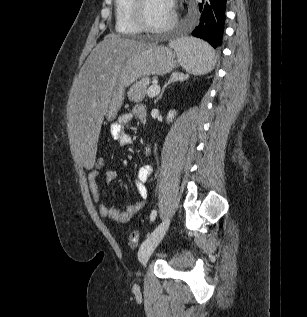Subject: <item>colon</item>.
<instances>
[{"label": "colon", "mask_w": 307, "mask_h": 317, "mask_svg": "<svg viewBox=\"0 0 307 317\" xmlns=\"http://www.w3.org/2000/svg\"><path fill=\"white\" fill-rule=\"evenodd\" d=\"M105 166V160L102 156H98L95 159V164H94V168L95 170H101L103 169ZM139 239V233L138 231H133L129 234L128 236V243L130 245H136Z\"/></svg>", "instance_id": "obj_1"}]
</instances>
